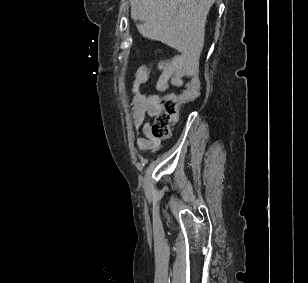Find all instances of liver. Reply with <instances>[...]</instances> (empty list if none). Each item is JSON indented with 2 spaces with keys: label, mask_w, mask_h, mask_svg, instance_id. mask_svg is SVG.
Here are the masks:
<instances>
[{
  "label": "liver",
  "mask_w": 308,
  "mask_h": 283,
  "mask_svg": "<svg viewBox=\"0 0 308 283\" xmlns=\"http://www.w3.org/2000/svg\"><path fill=\"white\" fill-rule=\"evenodd\" d=\"M216 0H130L139 33L198 59L208 12Z\"/></svg>",
  "instance_id": "1"
}]
</instances>
